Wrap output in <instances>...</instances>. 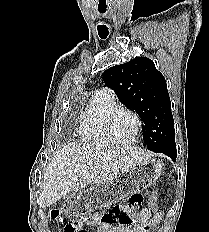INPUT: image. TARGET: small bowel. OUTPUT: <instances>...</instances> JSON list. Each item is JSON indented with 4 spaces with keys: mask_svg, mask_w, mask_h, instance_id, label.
Here are the masks:
<instances>
[{
    "mask_svg": "<svg viewBox=\"0 0 209 232\" xmlns=\"http://www.w3.org/2000/svg\"><path fill=\"white\" fill-rule=\"evenodd\" d=\"M143 195L139 190L135 194H129L126 199L125 212L137 213ZM138 224L134 227H112L104 223L98 224V232H150L161 220L160 212L152 213L149 209H143L137 215Z\"/></svg>",
    "mask_w": 209,
    "mask_h": 232,
    "instance_id": "obj_1",
    "label": "small bowel"
}]
</instances>
